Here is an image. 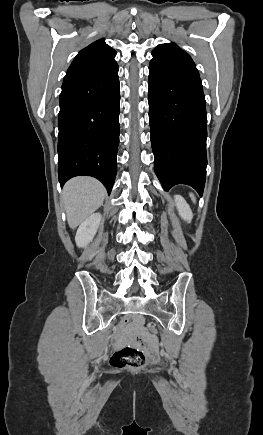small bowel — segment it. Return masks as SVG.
I'll use <instances>...</instances> for the list:
<instances>
[{"mask_svg": "<svg viewBox=\"0 0 263 435\" xmlns=\"http://www.w3.org/2000/svg\"><path fill=\"white\" fill-rule=\"evenodd\" d=\"M136 324L138 326H143L145 324V321L142 317H137L135 320ZM143 339L145 341H149L148 343H142V338L140 336H135L133 338V343L135 345H139V348H148L147 354L149 355L150 361H159L160 354L158 352V343L156 341H152L154 339V334L152 332H145L143 334ZM128 341L127 335L121 331L117 335V344L123 345Z\"/></svg>", "mask_w": 263, "mask_h": 435, "instance_id": "obj_1", "label": "small bowel"}]
</instances>
